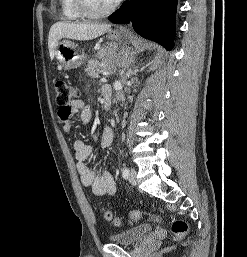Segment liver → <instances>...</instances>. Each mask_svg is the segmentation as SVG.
Returning <instances> with one entry per match:
<instances>
[{
  "instance_id": "liver-1",
  "label": "liver",
  "mask_w": 247,
  "mask_h": 257,
  "mask_svg": "<svg viewBox=\"0 0 247 257\" xmlns=\"http://www.w3.org/2000/svg\"><path fill=\"white\" fill-rule=\"evenodd\" d=\"M110 24L57 22L50 28L48 48L51 60L55 56L58 41L62 38L72 40H92L110 29Z\"/></svg>"
}]
</instances>
